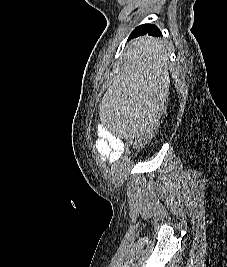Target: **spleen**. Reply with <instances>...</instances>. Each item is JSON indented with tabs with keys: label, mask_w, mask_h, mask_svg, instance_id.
I'll return each instance as SVG.
<instances>
[{
	"label": "spleen",
	"mask_w": 227,
	"mask_h": 267,
	"mask_svg": "<svg viewBox=\"0 0 227 267\" xmlns=\"http://www.w3.org/2000/svg\"><path fill=\"white\" fill-rule=\"evenodd\" d=\"M132 47L139 48L129 55L125 73L110 93H102L101 105L117 106H101L100 115H160L164 107L170 84L167 51L153 38H135ZM100 121L117 137L139 140L156 116H100Z\"/></svg>",
	"instance_id": "spleen-1"
}]
</instances>
